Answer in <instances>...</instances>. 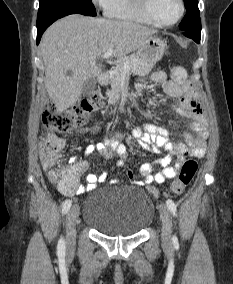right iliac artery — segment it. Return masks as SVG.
I'll use <instances>...</instances> for the list:
<instances>
[{
  "mask_svg": "<svg viewBox=\"0 0 233 284\" xmlns=\"http://www.w3.org/2000/svg\"><path fill=\"white\" fill-rule=\"evenodd\" d=\"M72 205V201L71 200H66L64 203H63V206H62V214L65 215L67 213V211L70 209ZM58 250L60 252H64L65 250V242L63 240V238L60 239L59 243H58Z\"/></svg>",
  "mask_w": 233,
  "mask_h": 284,
  "instance_id": "obj_1",
  "label": "right iliac artery"
}]
</instances>
